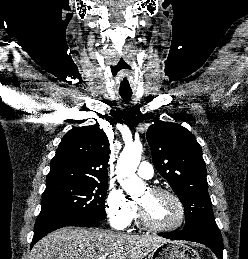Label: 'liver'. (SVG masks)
<instances>
[{
  "mask_svg": "<svg viewBox=\"0 0 248 259\" xmlns=\"http://www.w3.org/2000/svg\"><path fill=\"white\" fill-rule=\"evenodd\" d=\"M168 240L159 236L130 235L101 229L64 227L38 241L31 259H143Z\"/></svg>",
  "mask_w": 248,
  "mask_h": 259,
  "instance_id": "1",
  "label": "liver"
}]
</instances>
